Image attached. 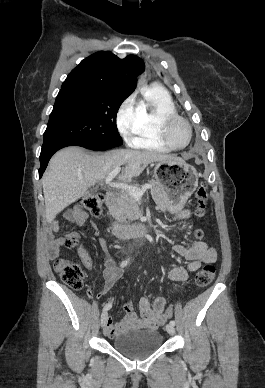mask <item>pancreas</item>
<instances>
[{
    "instance_id": "1",
    "label": "pancreas",
    "mask_w": 265,
    "mask_h": 388,
    "mask_svg": "<svg viewBox=\"0 0 265 388\" xmlns=\"http://www.w3.org/2000/svg\"><path fill=\"white\" fill-rule=\"evenodd\" d=\"M148 184L152 186L151 194L152 198L157 204L160 210H167L170 206L168 194L164 192L162 186L155 182V180H149ZM136 188H138L139 184H134ZM115 212H113L112 216L117 220V222H121V224H127V222H132V220H138L141 218L142 212L136 204V200L131 198L129 192L127 190H123L122 196L118 198L117 204L114 206Z\"/></svg>"
}]
</instances>
